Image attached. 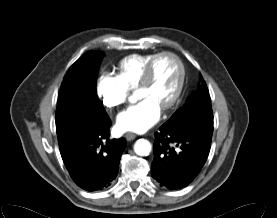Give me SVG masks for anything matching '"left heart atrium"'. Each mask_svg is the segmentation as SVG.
<instances>
[{"label":"left heart atrium","mask_w":277,"mask_h":218,"mask_svg":"<svg viewBox=\"0 0 277 218\" xmlns=\"http://www.w3.org/2000/svg\"><path fill=\"white\" fill-rule=\"evenodd\" d=\"M159 117L160 106L150 98H143L118 114L116 126L120 131L141 132L153 126Z\"/></svg>","instance_id":"39dd6f15"}]
</instances>
